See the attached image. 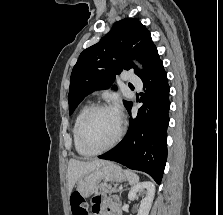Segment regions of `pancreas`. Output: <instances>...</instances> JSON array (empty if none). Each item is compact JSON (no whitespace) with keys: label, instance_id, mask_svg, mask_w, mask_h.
I'll list each match as a JSON object with an SVG mask.
<instances>
[{"label":"pancreas","instance_id":"obj_1","mask_svg":"<svg viewBox=\"0 0 223 215\" xmlns=\"http://www.w3.org/2000/svg\"><path fill=\"white\" fill-rule=\"evenodd\" d=\"M101 185V191H97V193H103V191H106V193H112V191H119V189H116V187H112L110 184H100Z\"/></svg>","mask_w":223,"mask_h":215}]
</instances>
